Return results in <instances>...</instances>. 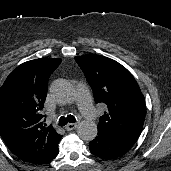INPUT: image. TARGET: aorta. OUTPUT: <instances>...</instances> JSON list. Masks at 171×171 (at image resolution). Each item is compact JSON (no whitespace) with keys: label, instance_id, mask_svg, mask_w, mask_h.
<instances>
[{"label":"aorta","instance_id":"obj_1","mask_svg":"<svg viewBox=\"0 0 171 171\" xmlns=\"http://www.w3.org/2000/svg\"><path fill=\"white\" fill-rule=\"evenodd\" d=\"M54 99L60 103H70L74 98L73 88L67 81H56L51 86ZM97 125L93 121L83 120L77 128L78 136L84 141L94 140L97 136Z\"/></svg>","mask_w":171,"mask_h":171}]
</instances>
